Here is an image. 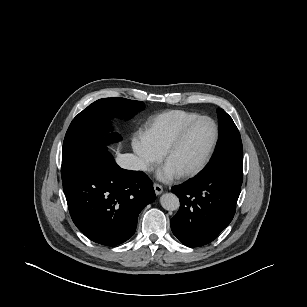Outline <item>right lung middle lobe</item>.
<instances>
[{"instance_id":"dd1d6c3e","label":"right lung middle lobe","mask_w":307,"mask_h":307,"mask_svg":"<svg viewBox=\"0 0 307 307\" xmlns=\"http://www.w3.org/2000/svg\"><path fill=\"white\" fill-rule=\"evenodd\" d=\"M144 108L141 101L104 98L90 104L71 122L62 149V181L76 175L96 156L106 150L105 142L120 140L116 133L107 134L110 119H129Z\"/></svg>"}]
</instances>
